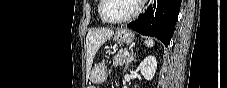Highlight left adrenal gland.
<instances>
[{
    "mask_svg": "<svg viewBox=\"0 0 227 88\" xmlns=\"http://www.w3.org/2000/svg\"><path fill=\"white\" fill-rule=\"evenodd\" d=\"M132 61H135V55H134L133 49L131 50V52H130L128 58H127L124 71L127 70L129 63H131Z\"/></svg>",
    "mask_w": 227,
    "mask_h": 88,
    "instance_id": "a2214340",
    "label": "left adrenal gland"
}]
</instances>
